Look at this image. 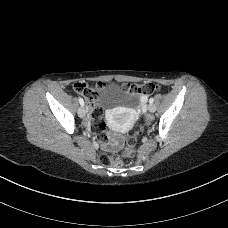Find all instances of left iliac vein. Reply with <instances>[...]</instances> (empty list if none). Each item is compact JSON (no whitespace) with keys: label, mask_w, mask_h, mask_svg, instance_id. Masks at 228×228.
Masks as SVG:
<instances>
[{"label":"left iliac vein","mask_w":228,"mask_h":228,"mask_svg":"<svg viewBox=\"0 0 228 228\" xmlns=\"http://www.w3.org/2000/svg\"><path fill=\"white\" fill-rule=\"evenodd\" d=\"M148 110H149L151 113L155 112V110H156L155 105L152 104V103H150V104L148 105Z\"/></svg>","instance_id":"1"}]
</instances>
